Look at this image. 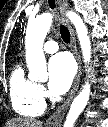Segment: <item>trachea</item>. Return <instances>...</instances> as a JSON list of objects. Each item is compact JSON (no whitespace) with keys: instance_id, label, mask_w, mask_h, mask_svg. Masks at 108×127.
Segmentation results:
<instances>
[{"instance_id":"1","label":"trachea","mask_w":108,"mask_h":127,"mask_svg":"<svg viewBox=\"0 0 108 127\" xmlns=\"http://www.w3.org/2000/svg\"><path fill=\"white\" fill-rule=\"evenodd\" d=\"M49 6H50V8L54 9L55 8V0H49ZM60 34H61L64 42L69 43V41H70V32L63 25L60 26Z\"/></svg>"}]
</instances>
